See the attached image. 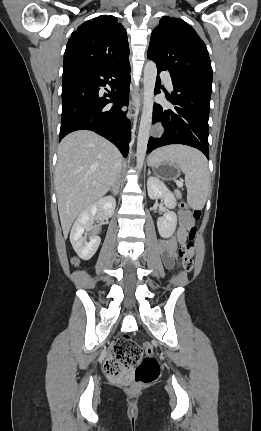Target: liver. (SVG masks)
I'll return each instance as SVG.
<instances>
[{"label":"liver","instance_id":"1","mask_svg":"<svg viewBox=\"0 0 261 431\" xmlns=\"http://www.w3.org/2000/svg\"><path fill=\"white\" fill-rule=\"evenodd\" d=\"M121 162L119 150L92 131H76L61 141L55 188L65 238L76 217L108 192Z\"/></svg>","mask_w":261,"mask_h":431}]
</instances>
